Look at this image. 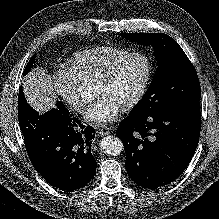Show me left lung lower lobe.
<instances>
[{
  "mask_svg": "<svg viewBox=\"0 0 219 219\" xmlns=\"http://www.w3.org/2000/svg\"><path fill=\"white\" fill-rule=\"evenodd\" d=\"M116 135L126 152V170L140 186L155 189L178 178L191 161L200 136V103L154 116H127Z\"/></svg>",
  "mask_w": 219,
  "mask_h": 219,
  "instance_id": "1",
  "label": "left lung lower lobe"
}]
</instances>
